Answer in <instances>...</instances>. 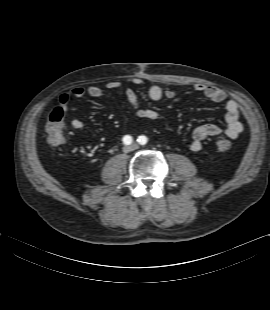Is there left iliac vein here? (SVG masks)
Here are the masks:
<instances>
[{
	"label": "left iliac vein",
	"instance_id": "obj_1",
	"mask_svg": "<svg viewBox=\"0 0 270 310\" xmlns=\"http://www.w3.org/2000/svg\"><path fill=\"white\" fill-rule=\"evenodd\" d=\"M131 147H132L133 149H137V148H138V145L134 143V144L131 145Z\"/></svg>",
	"mask_w": 270,
	"mask_h": 310
}]
</instances>
